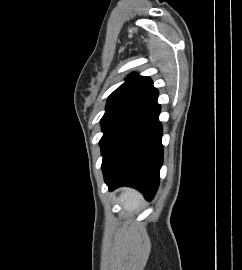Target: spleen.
<instances>
[{"label": "spleen", "instance_id": "spleen-1", "mask_svg": "<svg viewBox=\"0 0 242 270\" xmlns=\"http://www.w3.org/2000/svg\"><path fill=\"white\" fill-rule=\"evenodd\" d=\"M120 203L127 211H132L140 207L143 199L138 192L127 189L121 194Z\"/></svg>", "mask_w": 242, "mask_h": 270}]
</instances>
